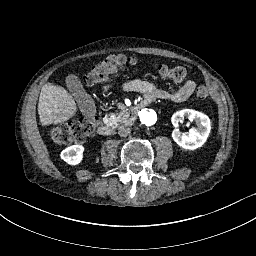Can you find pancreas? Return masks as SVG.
<instances>
[{"label": "pancreas", "instance_id": "pancreas-1", "mask_svg": "<svg viewBox=\"0 0 256 256\" xmlns=\"http://www.w3.org/2000/svg\"><path fill=\"white\" fill-rule=\"evenodd\" d=\"M135 120L136 116L130 117V111L123 108L119 113H111L109 115L108 124L114 127H117L120 124L132 125Z\"/></svg>", "mask_w": 256, "mask_h": 256}]
</instances>
